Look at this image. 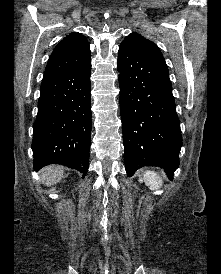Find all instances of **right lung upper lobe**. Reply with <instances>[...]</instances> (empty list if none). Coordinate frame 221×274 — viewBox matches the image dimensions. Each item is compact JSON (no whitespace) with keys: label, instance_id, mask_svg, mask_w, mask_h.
I'll return each instance as SVG.
<instances>
[{"label":"right lung upper lobe","instance_id":"1","mask_svg":"<svg viewBox=\"0 0 221 274\" xmlns=\"http://www.w3.org/2000/svg\"><path fill=\"white\" fill-rule=\"evenodd\" d=\"M91 61L90 46L80 33L73 32L54 48L43 77V81L82 67Z\"/></svg>","mask_w":221,"mask_h":274}]
</instances>
